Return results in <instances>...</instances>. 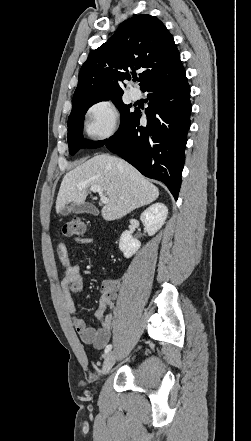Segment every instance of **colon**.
<instances>
[{
	"mask_svg": "<svg viewBox=\"0 0 251 441\" xmlns=\"http://www.w3.org/2000/svg\"><path fill=\"white\" fill-rule=\"evenodd\" d=\"M60 235L64 237H83L86 234V225L78 217H73L60 227Z\"/></svg>",
	"mask_w": 251,
	"mask_h": 441,
	"instance_id": "1",
	"label": "colon"
}]
</instances>
